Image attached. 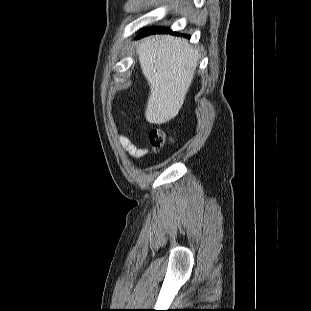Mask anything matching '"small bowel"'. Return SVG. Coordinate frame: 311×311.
<instances>
[{
	"mask_svg": "<svg viewBox=\"0 0 311 311\" xmlns=\"http://www.w3.org/2000/svg\"><path fill=\"white\" fill-rule=\"evenodd\" d=\"M119 144L133 159H140L147 153V150L145 148L137 147L126 136L123 135L119 136Z\"/></svg>",
	"mask_w": 311,
	"mask_h": 311,
	"instance_id": "c3829d8e",
	"label": "small bowel"
}]
</instances>
